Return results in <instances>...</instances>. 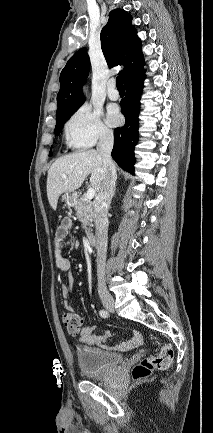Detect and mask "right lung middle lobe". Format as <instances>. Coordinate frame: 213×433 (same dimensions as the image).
<instances>
[{"label":"right lung middle lobe","instance_id":"dd1d6c3e","mask_svg":"<svg viewBox=\"0 0 213 433\" xmlns=\"http://www.w3.org/2000/svg\"><path fill=\"white\" fill-rule=\"evenodd\" d=\"M80 106H81V105H80ZM80 106H78V107H76V108H74V109H72V110L66 112V113H65L63 116H61L59 119H56V120H57V123H56V126H55L54 134L58 135V134L61 132L62 127H63L65 121H66V120H67L71 115H73L74 112H76V111L79 109ZM51 155H52V151L50 150L49 156H51Z\"/></svg>","mask_w":213,"mask_h":433}]
</instances>
